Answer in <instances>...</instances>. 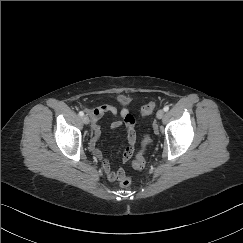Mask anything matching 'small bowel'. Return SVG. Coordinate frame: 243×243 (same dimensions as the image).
Returning a JSON list of instances; mask_svg holds the SVG:
<instances>
[{"instance_id":"obj_1","label":"small bowel","mask_w":243,"mask_h":243,"mask_svg":"<svg viewBox=\"0 0 243 243\" xmlns=\"http://www.w3.org/2000/svg\"><path fill=\"white\" fill-rule=\"evenodd\" d=\"M86 112L90 117L92 123L91 135L89 140V151L95 158L101 161V168L104 171L106 178L109 181H117L123 176L124 174L123 170L122 169L115 170L112 167L110 161L104 158L101 149L97 146L101 134V126L99 121L101 117L106 113H110L111 115L115 117H119L121 119V121L118 120L112 122L111 128L118 129L123 125L126 128L128 146L125 148L122 157L123 162H126L132 157L135 150V145H136L135 118L129 112L128 109L122 108L119 110L115 106L108 105V104L100 105L93 109L86 108Z\"/></svg>"}]
</instances>
